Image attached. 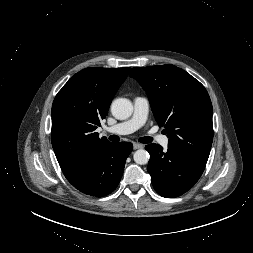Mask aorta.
<instances>
[{"mask_svg":"<svg viewBox=\"0 0 253 253\" xmlns=\"http://www.w3.org/2000/svg\"><path fill=\"white\" fill-rule=\"evenodd\" d=\"M133 112V105L126 98H118L111 104V113L118 120L128 119ZM149 153L144 149L135 151L133 155L134 161L139 165H145L149 161Z\"/></svg>","mask_w":253,"mask_h":253,"instance_id":"aorta-1","label":"aorta"}]
</instances>
